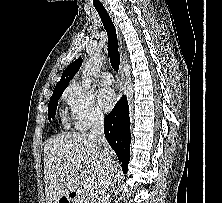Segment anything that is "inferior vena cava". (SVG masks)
<instances>
[{
  "mask_svg": "<svg viewBox=\"0 0 222 203\" xmlns=\"http://www.w3.org/2000/svg\"><path fill=\"white\" fill-rule=\"evenodd\" d=\"M89 138L96 139L103 146L105 168L95 183L93 191V203H108V190L112 185L115 173V165L109 156L108 144L104 136V116L101 112H95L92 117V127Z\"/></svg>",
  "mask_w": 222,
  "mask_h": 203,
  "instance_id": "1",
  "label": "inferior vena cava"
}]
</instances>
